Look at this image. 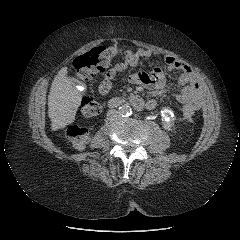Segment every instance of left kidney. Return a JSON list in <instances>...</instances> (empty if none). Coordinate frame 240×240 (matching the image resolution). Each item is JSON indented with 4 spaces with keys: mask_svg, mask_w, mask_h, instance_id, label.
<instances>
[{
    "mask_svg": "<svg viewBox=\"0 0 240 240\" xmlns=\"http://www.w3.org/2000/svg\"><path fill=\"white\" fill-rule=\"evenodd\" d=\"M161 115H162V121H163L162 123L163 128L167 131H172L174 128V125H173L174 118L172 116V111L168 108H164L161 111Z\"/></svg>",
    "mask_w": 240,
    "mask_h": 240,
    "instance_id": "5707ae66",
    "label": "left kidney"
}]
</instances>
